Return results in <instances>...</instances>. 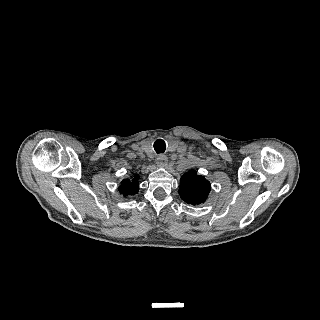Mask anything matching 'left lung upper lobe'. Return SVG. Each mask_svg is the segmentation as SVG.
<instances>
[{
	"label": "left lung upper lobe",
	"mask_w": 320,
	"mask_h": 320,
	"mask_svg": "<svg viewBox=\"0 0 320 320\" xmlns=\"http://www.w3.org/2000/svg\"><path fill=\"white\" fill-rule=\"evenodd\" d=\"M179 194L188 204L199 205L204 203L210 193L211 185L195 170H190L181 177Z\"/></svg>",
	"instance_id": "1"
}]
</instances>
